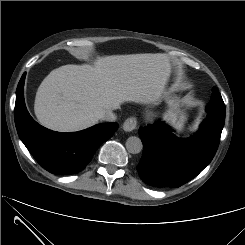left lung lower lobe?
<instances>
[{
	"instance_id": "left-lung-lower-lobe-1",
	"label": "left lung lower lobe",
	"mask_w": 245,
	"mask_h": 245,
	"mask_svg": "<svg viewBox=\"0 0 245 245\" xmlns=\"http://www.w3.org/2000/svg\"><path fill=\"white\" fill-rule=\"evenodd\" d=\"M224 122L208 113L199 132L188 139L177 138L163 121L139 128L144 146L137 166L141 179L151 186L174 188L193 179L213 159Z\"/></svg>"
}]
</instances>
